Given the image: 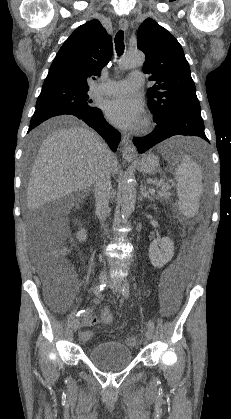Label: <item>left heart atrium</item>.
<instances>
[{"label":"left heart atrium","mask_w":231,"mask_h":419,"mask_svg":"<svg viewBox=\"0 0 231 419\" xmlns=\"http://www.w3.org/2000/svg\"><path fill=\"white\" fill-rule=\"evenodd\" d=\"M109 121L126 130L137 129L144 120L141 102L131 96H124L109 101L105 108Z\"/></svg>","instance_id":"39dd6f15"}]
</instances>
